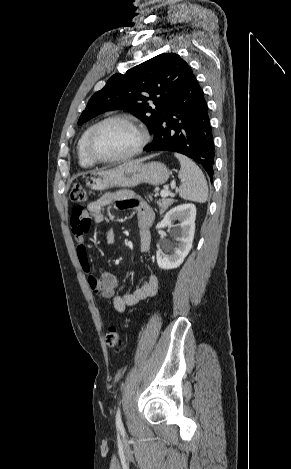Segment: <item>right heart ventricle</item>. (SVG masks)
Segmentation results:
<instances>
[{"mask_svg":"<svg viewBox=\"0 0 291 469\" xmlns=\"http://www.w3.org/2000/svg\"><path fill=\"white\" fill-rule=\"evenodd\" d=\"M92 127L93 126H89L88 128L85 129V131L82 133L77 143L78 161H79V164L84 168H90L96 164V162L93 161L86 152V140H87L89 131L91 130Z\"/></svg>","mask_w":291,"mask_h":469,"instance_id":"e07e8e85","label":"right heart ventricle"}]
</instances>
